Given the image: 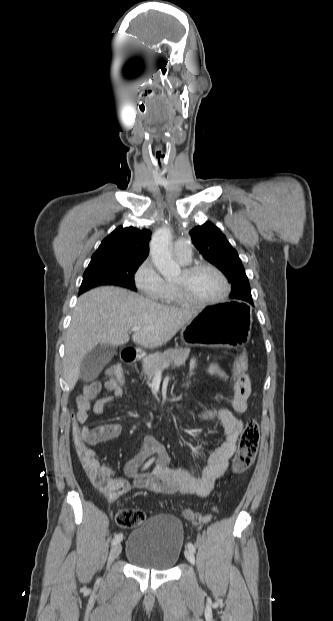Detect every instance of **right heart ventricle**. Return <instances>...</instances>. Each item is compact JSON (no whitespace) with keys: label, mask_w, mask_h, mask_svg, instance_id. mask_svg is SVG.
Masks as SVG:
<instances>
[{"label":"right heart ventricle","mask_w":333,"mask_h":621,"mask_svg":"<svg viewBox=\"0 0 333 621\" xmlns=\"http://www.w3.org/2000/svg\"><path fill=\"white\" fill-rule=\"evenodd\" d=\"M158 300L166 305H180L184 303L178 296L174 283L166 281L164 291Z\"/></svg>","instance_id":"right-heart-ventricle-1"}]
</instances>
